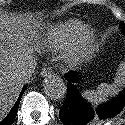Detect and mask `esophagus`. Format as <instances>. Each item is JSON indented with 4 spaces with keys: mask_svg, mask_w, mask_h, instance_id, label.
<instances>
[{
    "mask_svg": "<svg viewBox=\"0 0 125 125\" xmlns=\"http://www.w3.org/2000/svg\"><path fill=\"white\" fill-rule=\"evenodd\" d=\"M41 76L42 77H46V76H51V69L50 68H44L42 71H41Z\"/></svg>",
    "mask_w": 125,
    "mask_h": 125,
    "instance_id": "34e87169",
    "label": "esophagus"
}]
</instances>
